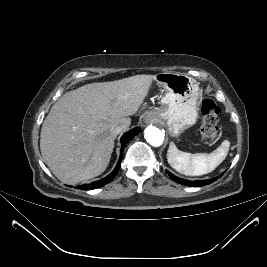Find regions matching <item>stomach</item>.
Wrapping results in <instances>:
<instances>
[{
  "mask_svg": "<svg viewBox=\"0 0 267 267\" xmlns=\"http://www.w3.org/2000/svg\"><path fill=\"white\" fill-rule=\"evenodd\" d=\"M155 80L163 88L161 107L147 113L156 121H165L169 133L178 137L198 119L199 85L188 75L164 72Z\"/></svg>",
  "mask_w": 267,
  "mask_h": 267,
  "instance_id": "1",
  "label": "stomach"
}]
</instances>
